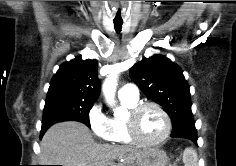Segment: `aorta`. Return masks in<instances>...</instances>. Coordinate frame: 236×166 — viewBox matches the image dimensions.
<instances>
[{
  "mask_svg": "<svg viewBox=\"0 0 236 166\" xmlns=\"http://www.w3.org/2000/svg\"><path fill=\"white\" fill-rule=\"evenodd\" d=\"M116 85H117V75L113 74L111 76H109L104 84H103V93L105 95V99L106 102L110 105V106H114L115 105V101H114V96H115V92H116ZM125 113V109L121 108V107H117L114 110V115L115 116H119L121 114Z\"/></svg>",
  "mask_w": 236,
  "mask_h": 166,
  "instance_id": "aorta-1",
  "label": "aorta"
}]
</instances>
